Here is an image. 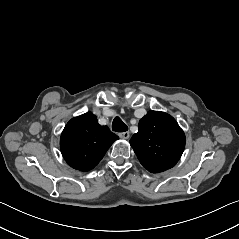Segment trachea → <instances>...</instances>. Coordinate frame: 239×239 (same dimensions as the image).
Masks as SVG:
<instances>
[{"instance_id": "1", "label": "trachea", "mask_w": 239, "mask_h": 239, "mask_svg": "<svg viewBox=\"0 0 239 239\" xmlns=\"http://www.w3.org/2000/svg\"><path fill=\"white\" fill-rule=\"evenodd\" d=\"M112 130L115 132H126L128 126L119 117H116L112 123Z\"/></svg>"}]
</instances>
